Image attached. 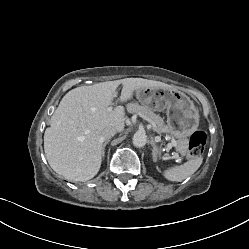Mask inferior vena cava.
<instances>
[{
    "mask_svg": "<svg viewBox=\"0 0 249 249\" xmlns=\"http://www.w3.org/2000/svg\"><path fill=\"white\" fill-rule=\"evenodd\" d=\"M117 133V129L113 126H106L101 131V140H109Z\"/></svg>",
    "mask_w": 249,
    "mask_h": 249,
    "instance_id": "inferior-vena-cava-1",
    "label": "inferior vena cava"
}]
</instances>
